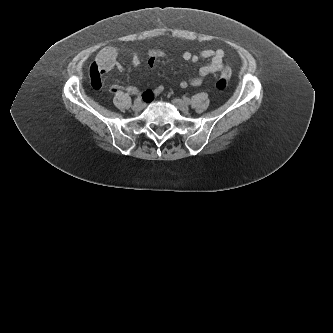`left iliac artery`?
Returning <instances> with one entry per match:
<instances>
[{"label":"left iliac artery","instance_id":"44dca946","mask_svg":"<svg viewBox=\"0 0 333 333\" xmlns=\"http://www.w3.org/2000/svg\"><path fill=\"white\" fill-rule=\"evenodd\" d=\"M185 100H186V102H188V103H189V101H190L188 98H186Z\"/></svg>","mask_w":333,"mask_h":333}]
</instances>
